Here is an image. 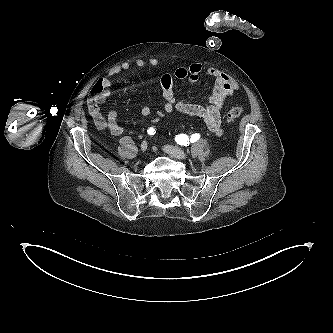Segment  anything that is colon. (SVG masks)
Returning <instances> with one entry per match:
<instances>
[{
    "instance_id": "obj_1",
    "label": "colon",
    "mask_w": 333,
    "mask_h": 333,
    "mask_svg": "<svg viewBox=\"0 0 333 333\" xmlns=\"http://www.w3.org/2000/svg\"><path fill=\"white\" fill-rule=\"evenodd\" d=\"M103 88L99 82H97L91 90V96L88 102L90 112H97L99 110V102L98 99L102 94ZM243 113V109L241 107H233L227 112V120L235 121L238 119Z\"/></svg>"
}]
</instances>
